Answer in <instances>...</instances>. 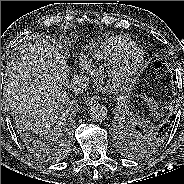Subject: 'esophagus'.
Returning a JSON list of instances; mask_svg holds the SVG:
<instances>
[{
	"label": "esophagus",
	"instance_id": "1",
	"mask_svg": "<svg viewBox=\"0 0 184 184\" xmlns=\"http://www.w3.org/2000/svg\"><path fill=\"white\" fill-rule=\"evenodd\" d=\"M98 101H99V98L97 96H93V97L88 98L86 103L88 105H92V104H94V103H96Z\"/></svg>",
	"mask_w": 184,
	"mask_h": 184
}]
</instances>
